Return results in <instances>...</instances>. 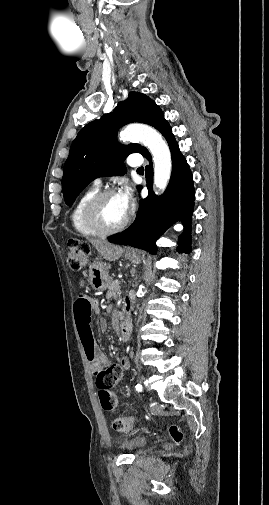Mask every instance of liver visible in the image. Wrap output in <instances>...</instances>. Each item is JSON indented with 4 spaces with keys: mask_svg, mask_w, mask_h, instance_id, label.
<instances>
[{
    "mask_svg": "<svg viewBox=\"0 0 269 505\" xmlns=\"http://www.w3.org/2000/svg\"><path fill=\"white\" fill-rule=\"evenodd\" d=\"M90 243L98 250L101 256L108 261L119 259L124 252L123 248L98 239H90Z\"/></svg>",
    "mask_w": 269,
    "mask_h": 505,
    "instance_id": "liver-1",
    "label": "liver"
}]
</instances>
